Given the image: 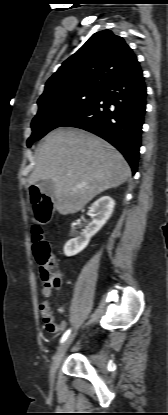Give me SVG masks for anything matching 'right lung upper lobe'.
I'll use <instances>...</instances> for the list:
<instances>
[{"label": "right lung upper lobe", "mask_w": 168, "mask_h": 415, "mask_svg": "<svg viewBox=\"0 0 168 415\" xmlns=\"http://www.w3.org/2000/svg\"><path fill=\"white\" fill-rule=\"evenodd\" d=\"M137 64L122 37L110 30L97 32L49 78L38 104L79 90L104 89Z\"/></svg>", "instance_id": "1"}]
</instances>
